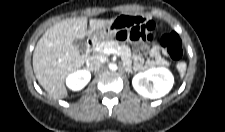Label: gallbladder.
Segmentation results:
<instances>
[{"label": "gallbladder", "mask_w": 225, "mask_h": 132, "mask_svg": "<svg viewBox=\"0 0 225 132\" xmlns=\"http://www.w3.org/2000/svg\"><path fill=\"white\" fill-rule=\"evenodd\" d=\"M75 48L80 52L84 53L86 50V43L83 39H75L73 42Z\"/></svg>", "instance_id": "bac80fb5"}]
</instances>
